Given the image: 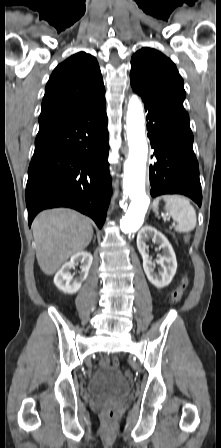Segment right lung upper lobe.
Listing matches in <instances>:
<instances>
[{
	"mask_svg": "<svg viewBox=\"0 0 221 448\" xmlns=\"http://www.w3.org/2000/svg\"><path fill=\"white\" fill-rule=\"evenodd\" d=\"M105 98L95 57L79 52L59 64L45 88L39 129L50 126Z\"/></svg>",
	"mask_w": 221,
	"mask_h": 448,
	"instance_id": "obj_1",
	"label": "right lung upper lobe"
}]
</instances>
